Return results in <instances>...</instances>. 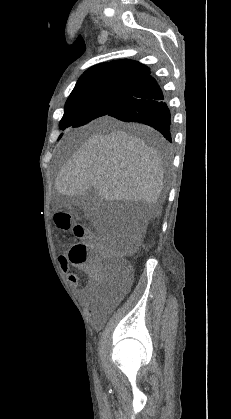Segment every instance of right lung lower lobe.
Returning <instances> with one entry per match:
<instances>
[{"label":"right lung lower lobe","instance_id":"right-lung-lower-lobe-1","mask_svg":"<svg viewBox=\"0 0 231 419\" xmlns=\"http://www.w3.org/2000/svg\"><path fill=\"white\" fill-rule=\"evenodd\" d=\"M107 116L125 122H138L159 131L172 142L171 114L164 101L162 90L148 74L135 86L127 98L113 108Z\"/></svg>","mask_w":231,"mask_h":419}]
</instances>
